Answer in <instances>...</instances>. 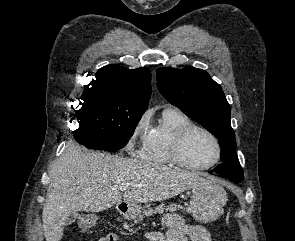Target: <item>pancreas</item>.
Returning <instances> with one entry per match:
<instances>
[{
	"label": "pancreas",
	"instance_id": "cf45deb5",
	"mask_svg": "<svg viewBox=\"0 0 295 241\" xmlns=\"http://www.w3.org/2000/svg\"><path fill=\"white\" fill-rule=\"evenodd\" d=\"M182 206H178L177 204H169L168 206H165L163 204L156 206L155 209L148 208L147 210H144L142 213H140L137 217H135L134 222L137 223L138 221L142 220L144 217H149L152 214H162L164 211L168 212H175L176 210L182 209Z\"/></svg>",
	"mask_w": 295,
	"mask_h": 241
}]
</instances>
